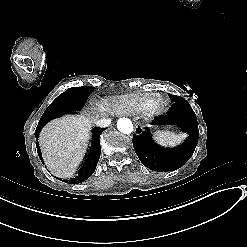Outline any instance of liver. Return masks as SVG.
<instances>
[{
	"mask_svg": "<svg viewBox=\"0 0 247 247\" xmlns=\"http://www.w3.org/2000/svg\"><path fill=\"white\" fill-rule=\"evenodd\" d=\"M97 118L64 115L48 122L40 132L39 145L47 169L58 178H71L82 162L90 131Z\"/></svg>",
	"mask_w": 247,
	"mask_h": 247,
	"instance_id": "6515ba94",
	"label": "liver"
}]
</instances>
